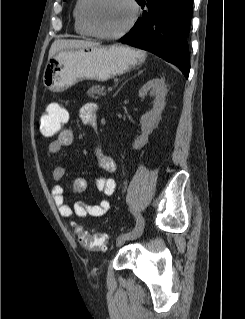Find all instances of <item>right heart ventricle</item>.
I'll use <instances>...</instances> for the list:
<instances>
[{
  "instance_id": "obj_1",
  "label": "right heart ventricle",
  "mask_w": 245,
  "mask_h": 319,
  "mask_svg": "<svg viewBox=\"0 0 245 319\" xmlns=\"http://www.w3.org/2000/svg\"><path fill=\"white\" fill-rule=\"evenodd\" d=\"M85 0H76L73 7V21L75 31L81 36H93L83 21L82 8Z\"/></svg>"
}]
</instances>
